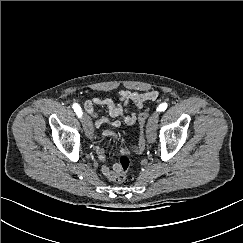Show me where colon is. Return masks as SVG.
Here are the masks:
<instances>
[{
  "instance_id": "obj_1",
  "label": "colon",
  "mask_w": 243,
  "mask_h": 243,
  "mask_svg": "<svg viewBox=\"0 0 243 243\" xmlns=\"http://www.w3.org/2000/svg\"><path fill=\"white\" fill-rule=\"evenodd\" d=\"M149 113L148 112H142L138 116V122L141 127V129L144 128L145 123L148 119ZM145 147V138L143 133H141L138 143L135 147L136 152H141ZM130 167V160L127 156L123 155L119 158L118 162L114 165V170H115V177L114 181L116 183H122L126 179V173Z\"/></svg>"
}]
</instances>
